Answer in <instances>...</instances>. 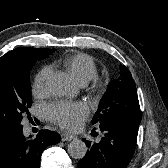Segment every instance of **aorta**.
<instances>
[{"mask_svg": "<svg viewBox=\"0 0 168 168\" xmlns=\"http://www.w3.org/2000/svg\"><path fill=\"white\" fill-rule=\"evenodd\" d=\"M72 78L64 72H56L47 80V88L51 94L57 97H68L74 90ZM69 155L74 159H82L86 152V144L78 139L71 141L67 149Z\"/></svg>", "mask_w": 168, "mask_h": 168, "instance_id": "aorta-1", "label": "aorta"}]
</instances>
